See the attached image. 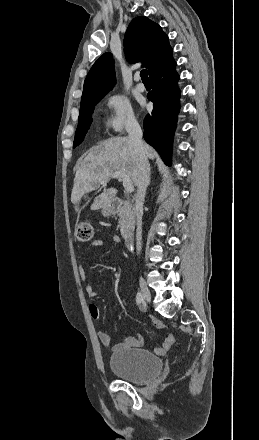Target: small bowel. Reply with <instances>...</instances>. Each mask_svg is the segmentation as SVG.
I'll return each mask as SVG.
<instances>
[{"mask_svg": "<svg viewBox=\"0 0 259 440\" xmlns=\"http://www.w3.org/2000/svg\"><path fill=\"white\" fill-rule=\"evenodd\" d=\"M112 240L115 243H119L120 242V237L117 236V235H114L112 237ZM103 243H104L103 240L97 239V240H94L91 243V246L92 247L101 246V245H103ZM79 277H80V280L82 281V283L85 286V291H86L87 296L89 298H93V297L97 296V292L87 282V276H86V273H85V270H84L82 264L79 265ZM89 313H90V316L93 319H98L99 315H100L98 306L95 305V304H90L89 305ZM151 320H152L153 325L157 329H162L163 328L164 325H163V323L160 320H158V319H156L154 317H152ZM97 336H98L99 341L104 346H110L111 345V336H110V334L101 331V332H98ZM171 344H172V339L168 335L165 338V340H164L163 346L159 347V348H156L155 352L158 353V354H164L170 348ZM140 345H141V339L138 336H130V337H127L122 343L116 345L114 348L115 349H120V348H125V347H137V346H140Z\"/></svg>", "mask_w": 259, "mask_h": 440, "instance_id": "c3829d8e", "label": "small bowel"}]
</instances>
